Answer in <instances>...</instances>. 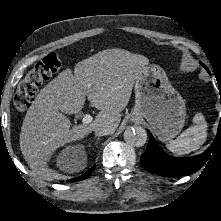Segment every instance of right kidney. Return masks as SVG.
<instances>
[{
    "label": "right kidney",
    "mask_w": 221,
    "mask_h": 221,
    "mask_svg": "<svg viewBox=\"0 0 221 221\" xmlns=\"http://www.w3.org/2000/svg\"><path fill=\"white\" fill-rule=\"evenodd\" d=\"M63 162H65V157H62V161H61V163H63Z\"/></svg>",
    "instance_id": "1"
}]
</instances>
